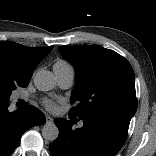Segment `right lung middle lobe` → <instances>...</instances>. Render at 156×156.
I'll use <instances>...</instances> for the list:
<instances>
[{"label":"right lung middle lobe","instance_id":"dd1d6c3e","mask_svg":"<svg viewBox=\"0 0 156 156\" xmlns=\"http://www.w3.org/2000/svg\"><path fill=\"white\" fill-rule=\"evenodd\" d=\"M18 86L25 87L27 84H15L8 80H0V100H9L11 91Z\"/></svg>","mask_w":156,"mask_h":156}]
</instances>
